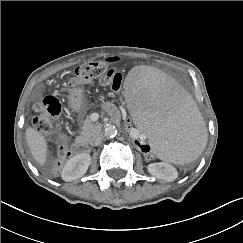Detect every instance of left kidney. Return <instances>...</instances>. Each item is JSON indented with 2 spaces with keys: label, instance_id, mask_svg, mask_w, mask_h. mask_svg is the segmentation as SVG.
Here are the masks:
<instances>
[{
  "label": "left kidney",
  "instance_id": "obj_1",
  "mask_svg": "<svg viewBox=\"0 0 243 243\" xmlns=\"http://www.w3.org/2000/svg\"><path fill=\"white\" fill-rule=\"evenodd\" d=\"M147 170L152 176L168 182L174 181L178 177L175 167L167 162L151 163L147 166Z\"/></svg>",
  "mask_w": 243,
  "mask_h": 243
}]
</instances>
